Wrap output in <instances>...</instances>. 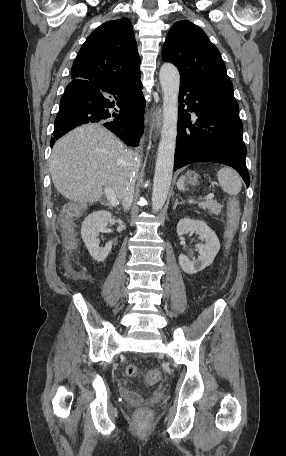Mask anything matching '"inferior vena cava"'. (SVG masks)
I'll return each mask as SVG.
<instances>
[{
	"label": "inferior vena cava",
	"mask_w": 286,
	"mask_h": 456,
	"mask_svg": "<svg viewBox=\"0 0 286 456\" xmlns=\"http://www.w3.org/2000/svg\"><path fill=\"white\" fill-rule=\"evenodd\" d=\"M133 196H134V182H132L129 187L127 188V191L125 192L123 198H122V206L123 209L129 210L133 201Z\"/></svg>",
	"instance_id": "inferior-vena-cava-1"
}]
</instances>
